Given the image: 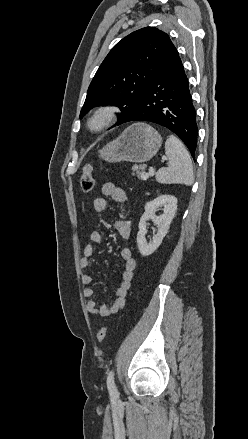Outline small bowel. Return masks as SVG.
<instances>
[{
  "label": "small bowel",
  "mask_w": 248,
  "mask_h": 439,
  "mask_svg": "<svg viewBox=\"0 0 248 439\" xmlns=\"http://www.w3.org/2000/svg\"><path fill=\"white\" fill-rule=\"evenodd\" d=\"M101 193L104 197H97L93 201V209L97 213L103 212L107 207L105 197L111 198L116 203H124L126 201V192L124 189L116 186L111 182L104 183L101 186ZM115 229L122 239H128L131 234L130 222L126 219H118L115 222ZM103 241V234L99 229H95L90 234V243L87 244L83 251V256L80 259V267L87 269L90 266V259L93 256L95 249L94 244H99ZM120 257L124 261V270L121 275V281L115 291V300L111 306L99 304L95 299L93 288L90 286L92 277L89 274L81 275V282L85 285L83 295L87 299L86 308L91 314L101 317H109L120 310L125 305V298L130 288L133 278L134 270L136 268V261L132 256L130 248H122L120 250Z\"/></svg>",
  "instance_id": "c3829d8e"
}]
</instances>
